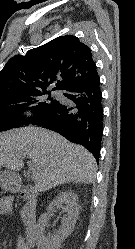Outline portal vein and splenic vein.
Returning <instances> with one entry per match:
<instances>
[{
	"label": "portal vein and splenic vein",
	"instance_id": "1",
	"mask_svg": "<svg viewBox=\"0 0 135 249\" xmlns=\"http://www.w3.org/2000/svg\"><path fill=\"white\" fill-rule=\"evenodd\" d=\"M28 165H29V172L31 173V178L36 179L38 165L33 161H30Z\"/></svg>",
	"mask_w": 135,
	"mask_h": 249
}]
</instances>
